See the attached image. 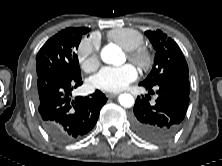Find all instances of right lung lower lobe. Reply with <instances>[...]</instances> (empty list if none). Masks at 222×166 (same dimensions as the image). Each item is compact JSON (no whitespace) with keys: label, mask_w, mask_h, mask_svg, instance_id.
<instances>
[{"label":"right lung lower lobe","mask_w":222,"mask_h":166,"mask_svg":"<svg viewBox=\"0 0 222 166\" xmlns=\"http://www.w3.org/2000/svg\"><path fill=\"white\" fill-rule=\"evenodd\" d=\"M81 76L51 70L37 76L35 102L44 130L58 143L80 139L95 126L106 96L96 90L72 100L71 92L82 84Z\"/></svg>","instance_id":"obj_1"}]
</instances>
